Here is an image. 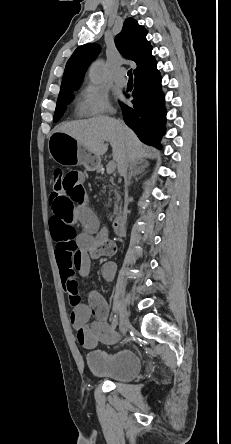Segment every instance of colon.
I'll return each mask as SVG.
<instances>
[{
    "label": "colon",
    "mask_w": 231,
    "mask_h": 444,
    "mask_svg": "<svg viewBox=\"0 0 231 444\" xmlns=\"http://www.w3.org/2000/svg\"><path fill=\"white\" fill-rule=\"evenodd\" d=\"M65 173L61 168H56L52 174V193L54 199L63 198L66 195V187L64 184Z\"/></svg>",
    "instance_id": "5ec220e1"
}]
</instances>
